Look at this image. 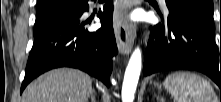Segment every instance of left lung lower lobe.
I'll list each match as a JSON object with an SVG mask.
<instances>
[{"label":"left lung lower lobe","instance_id":"left-lung-lower-lobe-1","mask_svg":"<svg viewBox=\"0 0 221 102\" xmlns=\"http://www.w3.org/2000/svg\"><path fill=\"white\" fill-rule=\"evenodd\" d=\"M167 7V22L151 30L143 75L164 70H197L221 89V46L219 50L215 42L214 23L189 9L169 4Z\"/></svg>","mask_w":221,"mask_h":102}]
</instances>
